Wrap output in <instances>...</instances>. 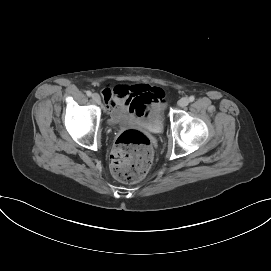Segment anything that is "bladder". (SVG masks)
<instances>
[{"instance_id":"obj_1","label":"bladder","mask_w":271,"mask_h":271,"mask_svg":"<svg viewBox=\"0 0 271 271\" xmlns=\"http://www.w3.org/2000/svg\"><path fill=\"white\" fill-rule=\"evenodd\" d=\"M146 126L153 132H160L164 127V117L162 110L153 113L146 122Z\"/></svg>"}]
</instances>
